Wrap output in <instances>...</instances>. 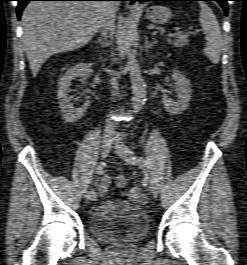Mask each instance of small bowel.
I'll return each instance as SVG.
<instances>
[{
    "label": "small bowel",
    "instance_id": "c3829d8e",
    "mask_svg": "<svg viewBox=\"0 0 247 265\" xmlns=\"http://www.w3.org/2000/svg\"><path fill=\"white\" fill-rule=\"evenodd\" d=\"M110 186V178L108 176H103L100 182V194L106 196L108 188ZM128 200L132 203L145 204L148 201L147 196L142 192L141 187L134 186L129 189Z\"/></svg>",
    "mask_w": 247,
    "mask_h": 265
}]
</instances>
